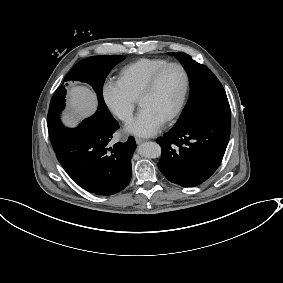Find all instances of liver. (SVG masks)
Returning a JSON list of instances; mask_svg holds the SVG:
<instances>
[{"instance_id": "obj_1", "label": "liver", "mask_w": 283, "mask_h": 283, "mask_svg": "<svg viewBox=\"0 0 283 283\" xmlns=\"http://www.w3.org/2000/svg\"><path fill=\"white\" fill-rule=\"evenodd\" d=\"M70 107L79 114L87 116L92 113L96 107V98L92 91L84 87H73L70 90ZM65 122L69 125H73L74 118L67 116Z\"/></svg>"}]
</instances>
